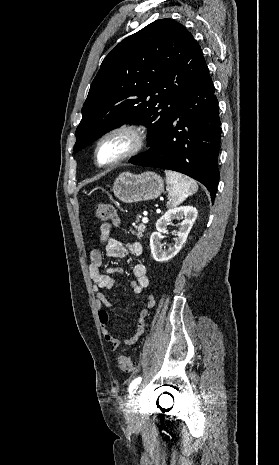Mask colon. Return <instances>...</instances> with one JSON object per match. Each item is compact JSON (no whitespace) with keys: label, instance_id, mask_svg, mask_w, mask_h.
Listing matches in <instances>:
<instances>
[{"label":"colon","instance_id":"colon-1","mask_svg":"<svg viewBox=\"0 0 279 465\" xmlns=\"http://www.w3.org/2000/svg\"><path fill=\"white\" fill-rule=\"evenodd\" d=\"M96 217L102 221H111L115 226L120 223L119 216L113 205L107 203H98L96 205ZM121 371L131 373L134 370V362L127 355H120L117 359Z\"/></svg>","mask_w":279,"mask_h":465}]
</instances>
